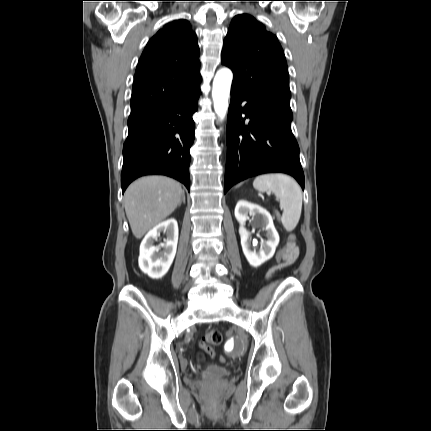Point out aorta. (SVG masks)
Segmentation results:
<instances>
[{"mask_svg":"<svg viewBox=\"0 0 431 431\" xmlns=\"http://www.w3.org/2000/svg\"><path fill=\"white\" fill-rule=\"evenodd\" d=\"M232 79V71L228 68H222L217 71L213 80L212 99L214 110L221 120L224 119L227 113Z\"/></svg>","mask_w":431,"mask_h":431,"instance_id":"aorta-1","label":"aorta"}]
</instances>
